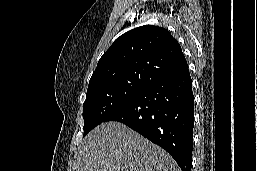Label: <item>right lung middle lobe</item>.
Returning a JSON list of instances; mask_svg holds the SVG:
<instances>
[{"label": "right lung middle lobe", "mask_w": 257, "mask_h": 171, "mask_svg": "<svg viewBox=\"0 0 257 171\" xmlns=\"http://www.w3.org/2000/svg\"><path fill=\"white\" fill-rule=\"evenodd\" d=\"M147 86L143 83H114L87 90L83 104L84 136Z\"/></svg>", "instance_id": "right-lung-middle-lobe-1"}]
</instances>
